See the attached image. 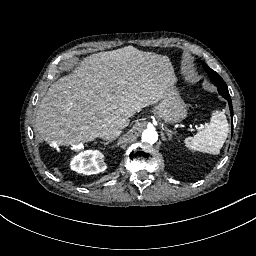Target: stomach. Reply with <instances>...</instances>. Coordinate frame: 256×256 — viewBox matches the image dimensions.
I'll list each match as a JSON object with an SVG mask.
<instances>
[{"label":"stomach","instance_id":"0dacf381","mask_svg":"<svg viewBox=\"0 0 256 256\" xmlns=\"http://www.w3.org/2000/svg\"><path fill=\"white\" fill-rule=\"evenodd\" d=\"M152 114L170 124L179 123L187 117V105L180 98L175 85L165 87L164 95Z\"/></svg>","mask_w":256,"mask_h":256}]
</instances>
